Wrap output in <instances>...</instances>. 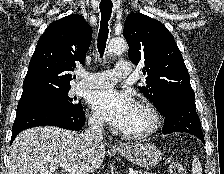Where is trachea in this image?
Segmentation results:
<instances>
[{"instance_id": "trachea-1", "label": "trachea", "mask_w": 224, "mask_h": 174, "mask_svg": "<svg viewBox=\"0 0 224 174\" xmlns=\"http://www.w3.org/2000/svg\"><path fill=\"white\" fill-rule=\"evenodd\" d=\"M113 3L109 0H103L100 3V12H101V21H100V30L98 36V51L100 53V57H103L104 50L106 47V42L108 39V22L111 17Z\"/></svg>"}]
</instances>
